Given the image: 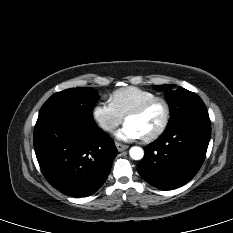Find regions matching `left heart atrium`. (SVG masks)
Returning a JSON list of instances; mask_svg holds the SVG:
<instances>
[{"mask_svg": "<svg viewBox=\"0 0 233 233\" xmlns=\"http://www.w3.org/2000/svg\"><path fill=\"white\" fill-rule=\"evenodd\" d=\"M116 137L122 141H133L142 138V135L135 126L125 123V125L117 131Z\"/></svg>", "mask_w": 233, "mask_h": 233, "instance_id": "39dd6f15", "label": "left heart atrium"}]
</instances>
